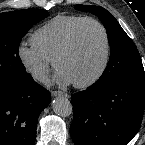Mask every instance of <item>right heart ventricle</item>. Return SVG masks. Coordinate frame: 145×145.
<instances>
[{"label":"right heart ventricle","mask_w":145,"mask_h":145,"mask_svg":"<svg viewBox=\"0 0 145 145\" xmlns=\"http://www.w3.org/2000/svg\"><path fill=\"white\" fill-rule=\"evenodd\" d=\"M81 18L78 15H57L38 28L31 41L48 59L55 61L70 30Z\"/></svg>","instance_id":"right-heart-ventricle-1"}]
</instances>
